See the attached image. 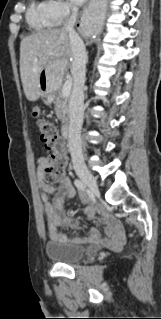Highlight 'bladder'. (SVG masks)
<instances>
[{
  "mask_svg": "<svg viewBox=\"0 0 161 319\" xmlns=\"http://www.w3.org/2000/svg\"><path fill=\"white\" fill-rule=\"evenodd\" d=\"M46 256L57 263L72 264L85 255V247L79 243L51 239L44 246Z\"/></svg>",
  "mask_w": 161,
  "mask_h": 319,
  "instance_id": "obj_1",
  "label": "bladder"
}]
</instances>
